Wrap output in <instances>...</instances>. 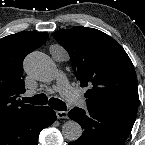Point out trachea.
Instances as JSON below:
<instances>
[{
    "label": "trachea",
    "instance_id": "1",
    "mask_svg": "<svg viewBox=\"0 0 145 145\" xmlns=\"http://www.w3.org/2000/svg\"><path fill=\"white\" fill-rule=\"evenodd\" d=\"M23 102L35 104V105H45L48 103L49 106H51L53 109L58 111H65L66 105L63 101L57 98H51L48 101V98L45 94H38L31 98L23 97Z\"/></svg>",
    "mask_w": 145,
    "mask_h": 145
}]
</instances>
